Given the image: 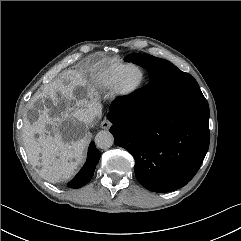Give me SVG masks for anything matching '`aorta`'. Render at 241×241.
Masks as SVG:
<instances>
[{
  "instance_id": "aorta-1",
  "label": "aorta",
  "mask_w": 241,
  "mask_h": 241,
  "mask_svg": "<svg viewBox=\"0 0 241 241\" xmlns=\"http://www.w3.org/2000/svg\"><path fill=\"white\" fill-rule=\"evenodd\" d=\"M96 145L101 149L110 148L114 143V137L109 131H100L95 137Z\"/></svg>"
}]
</instances>
